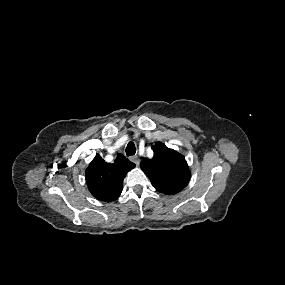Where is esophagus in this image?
Returning <instances> with one entry per match:
<instances>
[{"mask_svg": "<svg viewBox=\"0 0 285 285\" xmlns=\"http://www.w3.org/2000/svg\"><path fill=\"white\" fill-rule=\"evenodd\" d=\"M130 160L134 162L136 165L139 164V157L138 156H131Z\"/></svg>", "mask_w": 285, "mask_h": 285, "instance_id": "esophagus-1", "label": "esophagus"}]
</instances>
